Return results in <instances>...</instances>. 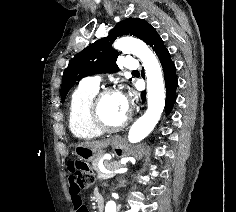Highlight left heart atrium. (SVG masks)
Returning a JSON list of instances; mask_svg holds the SVG:
<instances>
[{
    "instance_id": "obj_1",
    "label": "left heart atrium",
    "mask_w": 236,
    "mask_h": 212,
    "mask_svg": "<svg viewBox=\"0 0 236 212\" xmlns=\"http://www.w3.org/2000/svg\"><path fill=\"white\" fill-rule=\"evenodd\" d=\"M121 111L127 114L131 107V98L127 93H118Z\"/></svg>"
}]
</instances>
